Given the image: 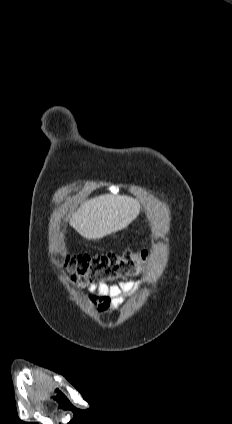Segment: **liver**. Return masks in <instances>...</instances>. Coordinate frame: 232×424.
I'll return each mask as SVG.
<instances>
[{
	"label": "liver",
	"mask_w": 232,
	"mask_h": 424,
	"mask_svg": "<svg viewBox=\"0 0 232 424\" xmlns=\"http://www.w3.org/2000/svg\"><path fill=\"white\" fill-rule=\"evenodd\" d=\"M139 212L138 200L106 194L83 203L73 214L70 225L86 239H99L127 227Z\"/></svg>",
	"instance_id": "liver-1"
}]
</instances>
